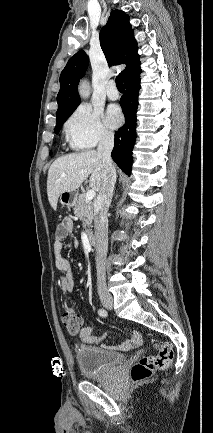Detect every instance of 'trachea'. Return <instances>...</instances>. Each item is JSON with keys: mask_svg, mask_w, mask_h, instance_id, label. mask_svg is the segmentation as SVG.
<instances>
[{"mask_svg": "<svg viewBox=\"0 0 213 433\" xmlns=\"http://www.w3.org/2000/svg\"><path fill=\"white\" fill-rule=\"evenodd\" d=\"M116 86H117L118 89H124V84H123V81H122V77L120 75H118L116 77Z\"/></svg>", "mask_w": 213, "mask_h": 433, "instance_id": "trachea-1", "label": "trachea"}]
</instances>
